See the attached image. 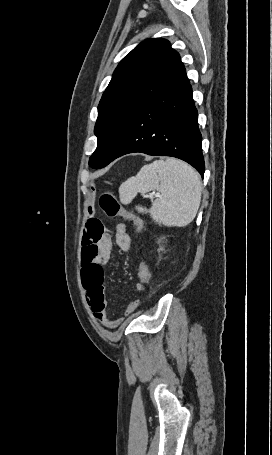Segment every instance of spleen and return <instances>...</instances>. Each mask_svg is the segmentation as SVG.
I'll return each mask as SVG.
<instances>
[{
	"mask_svg": "<svg viewBox=\"0 0 272 455\" xmlns=\"http://www.w3.org/2000/svg\"><path fill=\"white\" fill-rule=\"evenodd\" d=\"M160 192L147 210L136 206L140 213H150L152 219L165 226L183 227L190 224L198 212L202 183L199 174L187 163L174 158L157 160L144 165L135 177L119 187L122 204L127 205L137 196L149 191Z\"/></svg>",
	"mask_w": 272,
	"mask_h": 455,
	"instance_id": "obj_1",
	"label": "spleen"
}]
</instances>
